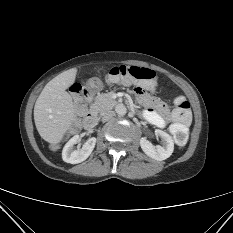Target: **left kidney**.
<instances>
[{
	"mask_svg": "<svg viewBox=\"0 0 233 233\" xmlns=\"http://www.w3.org/2000/svg\"><path fill=\"white\" fill-rule=\"evenodd\" d=\"M155 135L161 137L162 146H154L145 137L141 138L140 146L147 156L155 160L162 161L172 155L174 150V143L172 137L162 130L156 129Z\"/></svg>",
	"mask_w": 233,
	"mask_h": 233,
	"instance_id": "obj_1",
	"label": "left kidney"
}]
</instances>
